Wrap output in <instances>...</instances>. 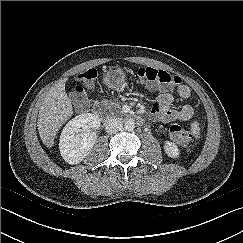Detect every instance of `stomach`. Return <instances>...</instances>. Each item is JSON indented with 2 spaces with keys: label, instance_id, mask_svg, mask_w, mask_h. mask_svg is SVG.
I'll return each instance as SVG.
<instances>
[{
  "label": "stomach",
  "instance_id": "obj_1",
  "mask_svg": "<svg viewBox=\"0 0 243 243\" xmlns=\"http://www.w3.org/2000/svg\"><path fill=\"white\" fill-rule=\"evenodd\" d=\"M126 75L119 66H110L103 75V83L110 89L118 90L123 87Z\"/></svg>",
  "mask_w": 243,
  "mask_h": 243
}]
</instances>
